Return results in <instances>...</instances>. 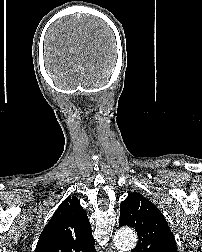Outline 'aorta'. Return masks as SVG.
<instances>
[{
  "label": "aorta",
  "instance_id": "1",
  "mask_svg": "<svg viewBox=\"0 0 202 252\" xmlns=\"http://www.w3.org/2000/svg\"><path fill=\"white\" fill-rule=\"evenodd\" d=\"M138 237L131 228H120L114 235V244L120 252H130L137 244Z\"/></svg>",
  "mask_w": 202,
  "mask_h": 252
}]
</instances>
